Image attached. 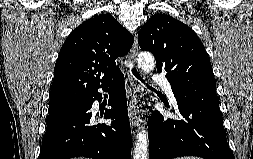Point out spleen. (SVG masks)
<instances>
[{"label":"spleen","instance_id":"3e777b00","mask_svg":"<svg viewBox=\"0 0 253 159\" xmlns=\"http://www.w3.org/2000/svg\"><path fill=\"white\" fill-rule=\"evenodd\" d=\"M176 159H201V158L193 157V156H187V157H180V158H176Z\"/></svg>","mask_w":253,"mask_h":159}]
</instances>
